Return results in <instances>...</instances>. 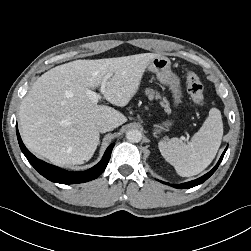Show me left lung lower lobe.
<instances>
[{
    "instance_id": "left-lung-lower-lobe-1",
    "label": "left lung lower lobe",
    "mask_w": 251,
    "mask_h": 251,
    "mask_svg": "<svg viewBox=\"0 0 251 251\" xmlns=\"http://www.w3.org/2000/svg\"><path fill=\"white\" fill-rule=\"evenodd\" d=\"M226 150H227V147H226L225 151L223 152L222 156L220 157V159H219L218 163L216 164V166L210 172H208L207 174L203 175L202 177H200V178H198L196 180L186 182V183H183L181 185H172V186L175 187V188H181V189L185 188L186 189V188H192L194 186H197V185L203 183L216 171V169L218 168L220 162L222 161V159L224 157V154H225Z\"/></svg>"
}]
</instances>
